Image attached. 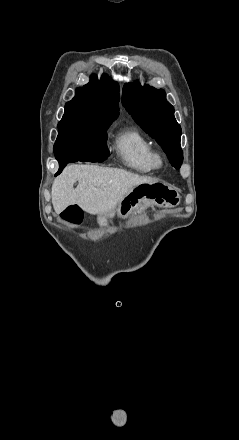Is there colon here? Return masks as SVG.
I'll return each mask as SVG.
<instances>
[{
  "mask_svg": "<svg viewBox=\"0 0 239 440\" xmlns=\"http://www.w3.org/2000/svg\"><path fill=\"white\" fill-rule=\"evenodd\" d=\"M62 216L68 222L77 224L81 220V211L78 206L71 205L65 209Z\"/></svg>",
  "mask_w": 239,
  "mask_h": 440,
  "instance_id": "5ec220e1",
  "label": "colon"
}]
</instances>
